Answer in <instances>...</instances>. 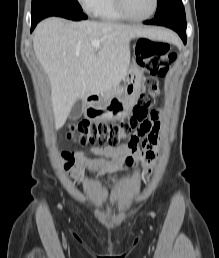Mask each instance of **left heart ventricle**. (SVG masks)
I'll return each instance as SVG.
<instances>
[{
    "mask_svg": "<svg viewBox=\"0 0 219 258\" xmlns=\"http://www.w3.org/2000/svg\"><path fill=\"white\" fill-rule=\"evenodd\" d=\"M124 4L130 15L142 17L152 11L154 0H124Z\"/></svg>",
    "mask_w": 219,
    "mask_h": 258,
    "instance_id": "b2bd125f",
    "label": "left heart ventricle"
}]
</instances>
